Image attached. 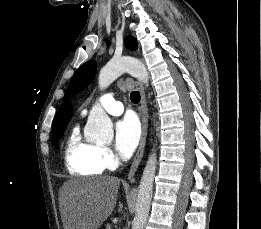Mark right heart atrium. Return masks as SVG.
Listing matches in <instances>:
<instances>
[{"label": "right heart atrium", "mask_w": 261, "mask_h": 229, "mask_svg": "<svg viewBox=\"0 0 261 229\" xmlns=\"http://www.w3.org/2000/svg\"><path fill=\"white\" fill-rule=\"evenodd\" d=\"M100 164L102 169L114 171L121 165V158L107 146L101 147Z\"/></svg>", "instance_id": "right-heart-atrium-1"}]
</instances>
